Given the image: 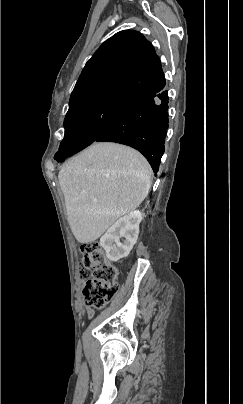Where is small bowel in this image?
Segmentation results:
<instances>
[{
	"instance_id": "small-bowel-1",
	"label": "small bowel",
	"mask_w": 243,
	"mask_h": 404,
	"mask_svg": "<svg viewBox=\"0 0 243 404\" xmlns=\"http://www.w3.org/2000/svg\"><path fill=\"white\" fill-rule=\"evenodd\" d=\"M88 315H89V316H91V315H92V312H91V311H89V312H88Z\"/></svg>"
}]
</instances>
